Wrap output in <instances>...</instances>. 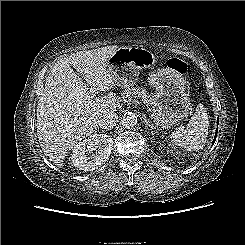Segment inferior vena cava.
<instances>
[{"label":"inferior vena cava","instance_id":"602c4592","mask_svg":"<svg viewBox=\"0 0 245 245\" xmlns=\"http://www.w3.org/2000/svg\"><path fill=\"white\" fill-rule=\"evenodd\" d=\"M118 122V115L116 113H107L99 120V126L102 129H112Z\"/></svg>","mask_w":245,"mask_h":245}]
</instances>
